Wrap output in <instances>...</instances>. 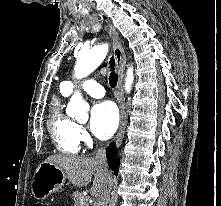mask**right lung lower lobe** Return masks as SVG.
Instances as JSON below:
<instances>
[{"label": "right lung lower lobe", "mask_w": 221, "mask_h": 206, "mask_svg": "<svg viewBox=\"0 0 221 206\" xmlns=\"http://www.w3.org/2000/svg\"><path fill=\"white\" fill-rule=\"evenodd\" d=\"M106 156L108 164L110 165L112 170L115 171V175H117L119 169V158H117V149L114 142L110 143V145L107 147Z\"/></svg>", "instance_id": "right-lung-lower-lobe-1"}]
</instances>
